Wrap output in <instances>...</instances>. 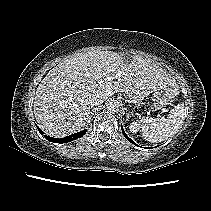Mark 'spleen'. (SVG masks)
I'll list each match as a JSON object with an SVG mask.
<instances>
[{
	"label": "spleen",
	"instance_id": "1",
	"mask_svg": "<svg viewBox=\"0 0 211 211\" xmlns=\"http://www.w3.org/2000/svg\"><path fill=\"white\" fill-rule=\"evenodd\" d=\"M184 105L178 104L171 110L168 117L154 121H146L142 125V136L151 143H158L176 134L183 123Z\"/></svg>",
	"mask_w": 211,
	"mask_h": 211
}]
</instances>
